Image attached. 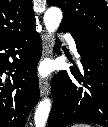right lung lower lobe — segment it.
Here are the masks:
<instances>
[{"instance_id":"1","label":"right lung lower lobe","mask_w":108,"mask_h":127,"mask_svg":"<svg viewBox=\"0 0 108 127\" xmlns=\"http://www.w3.org/2000/svg\"><path fill=\"white\" fill-rule=\"evenodd\" d=\"M41 54L42 42L35 27L20 36L0 39L1 127H23L26 116L37 104V64Z\"/></svg>"}]
</instances>
